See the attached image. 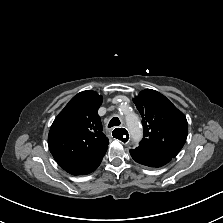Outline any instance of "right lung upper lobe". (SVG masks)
I'll return each mask as SVG.
<instances>
[{
  "instance_id": "1",
  "label": "right lung upper lobe",
  "mask_w": 223,
  "mask_h": 223,
  "mask_svg": "<svg viewBox=\"0 0 223 223\" xmlns=\"http://www.w3.org/2000/svg\"><path fill=\"white\" fill-rule=\"evenodd\" d=\"M102 96L92 90L78 93L55 118L48 145L56 162L72 175L88 174L104 157L109 140L97 113Z\"/></svg>"
}]
</instances>
